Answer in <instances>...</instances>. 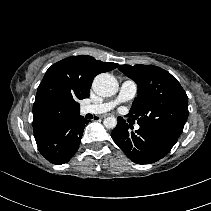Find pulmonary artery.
I'll use <instances>...</instances> for the list:
<instances>
[{
    "mask_svg": "<svg viewBox=\"0 0 211 211\" xmlns=\"http://www.w3.org/2000/svg\"><path fill=\"white\" fill-rule=\"evenodd\" d=\"M138 87L135 81L126 79L120 86L117 97L109 102L88 104L82 107L81 111L83 114H101L112 110L119 103L126 102L135 97ZM139 129V125L135 126Z\"/></svg>",
    "mask_w": 211,
    "mask_h": 211,
    "instance_id": "obj_1",
    "label": "pulmonary artery"
}]
</instances>
